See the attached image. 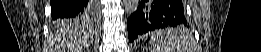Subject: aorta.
Returning a JSON list of instances; mask_svg holds the SVG:
<instances>
[{
  "instance_id": "762f6f07",
  "label": "aorta",
  "mask_w": 261,
  "mask_h": 52,
  "mask_svg": "<svg viewBox=\"0 0 261 52\" xmlns=\"http://www.w3.org/2000/svg\"><path fill=\"white\" fill-rule=\"evenodd\" d=\"M123 2H124L125 12L128 15H131L137 11L139 6V0H123Z\"/></svg>"
}]
</instances>
